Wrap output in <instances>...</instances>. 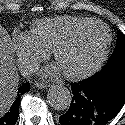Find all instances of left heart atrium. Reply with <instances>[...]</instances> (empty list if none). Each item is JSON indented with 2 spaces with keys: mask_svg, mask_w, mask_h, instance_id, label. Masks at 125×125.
Masks as SVG:
<instances>
[{
  "mask_svg": "<svg viewBox=\"0 0 125 125\" xmlns=\"http://www.w3.org/2000/svg\"><path fill=\"white\" fill-rule=\"evenodd\" d=\"M61 72V69L58 65H54L53 67L49 68V69H46L44 71V75H49V74H57Z\"/></svg>",
  "mask_w": 125,
  "mask_h": 125,
  "instance_id": "obj_1",
  "label": "left heart atrium"
}]
</instances>
